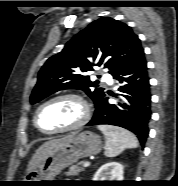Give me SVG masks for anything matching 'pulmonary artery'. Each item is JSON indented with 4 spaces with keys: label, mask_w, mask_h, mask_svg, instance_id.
Here are the masks:
<instances>
[{
    "label": "pulmonary artery",
    "mask_w": 178,
    "mask_h": 186,
    "mask_svg": "<svg viewBox=\"0 0 178 186\" xmlns=\"http://www.w3.org/2000/svg\"><path fill=\"white\" fill-rule=\"evenodd\" d=\"M104 78H108V75L105 74V75H104Z\"/></svg>",
    "instance_id": "1"
}]
</instances>
